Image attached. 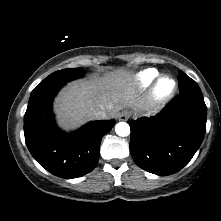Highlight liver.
Listing matches in <instances>:
<instances>
[{"label": "liver", "instance_id": "1", "mask_svg": "<svg viewBox=\"0 0 221 221\" xmlns=\"http://www.w3.org/2000/svg\"><path fill=\"white\" fill-rule=\"evenodd\" d=\"M133 84L130 73L122 69L102 78L70 83L54 102L58 124L71 130L92 120L96 110L105 111L110 119L124 107L139 109L142 103L136 99Z\"/></svg>", "mask_w": 221, "mask_h": 221}]
</instances>
